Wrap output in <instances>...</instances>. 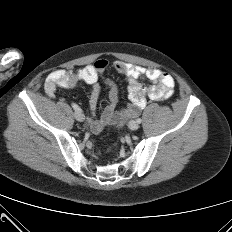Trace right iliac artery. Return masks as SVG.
I'll use <instances>...</instances> for the list:
<instances>
[{
	"mask_svg": "<svg viewBox=\"0 0 232 232\" xmlns=\"http://www.w3.org/2000/svg\"><path fill=\"white\" fill-rule=\"evenodd\" d=\"M71 106L73 107V109L75 110V111H82L80 108H79V106L77 105V104H75V103H72L71 104Z\"/></svg>",
	"mask_w": 232,
	"mask_h": 232,
	"instance_id": "right-iliac-artery-1",
	"label": "right iliac artery"
}]
</instances>
